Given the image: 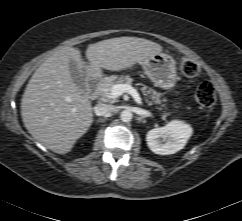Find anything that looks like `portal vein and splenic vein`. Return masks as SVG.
<instances>
[{"label":"portal vein and splenic vein","instance_id":"obj_1","mask_svg":"<svg viewBox=\"0 0 242 221\" xmlns=\"http://www.w3.org/2000/svg\"><path fill=\"white\" fill-rule=\"evenodd\" d=\"M111 93L115 97H119L123 93H129L138 104L142 103L139 93L129 84H116L112 87Z\"/></svg>","mask_w":242,"mask_h":221}]
</instances>
